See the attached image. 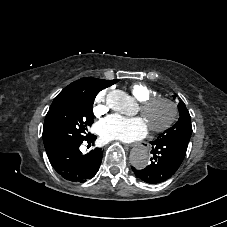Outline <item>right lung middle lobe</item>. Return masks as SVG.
<instances>
[{
  "instance_id": "obj_1",
  "label": "right lung middle lobe",
  "mask_w": 227,
  "mask_h": 227,
  "mask_svg": "<svg viewBox=\"0 0 227 227\" xmlns=\"http://www.w3.org/2000/svg\"><path fill=\"white\" fill-rule=\"evenodd\" d=\"M106 87L102 79L86 78L72 88L63 89L55 97L43 127L46 151L86 136L87 127L93 123L94 99Z\"/></svg>"
}]
</instances>
